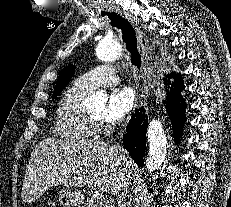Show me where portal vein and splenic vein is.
<instances>
[{"label":"portal vein and splenic vein","mask_w":231,"mask_h":207,"mask_svg":"<svg viewBox=\"0 0 231 207\" xmlns=\"http://www.w3.org/2000/svg\"><path fill=\"white\" fill-rule=\"evenodd\" d=\"M95 198L100 202H104V200H105L104 196L100 193H98V194L96 193ZM104 204H105V202H104ZM105 207H107V206H105Z\"/></svg>","instance_id":"18ae733b"}]
</instances>
